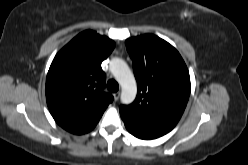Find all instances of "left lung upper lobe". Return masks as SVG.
<instances>
[{
    "mask_svg": "<svg viewBox=\"0 0 248 165\" xmlns=\"http://www.w3.org/2000/svg\"><path fill=\"white\" fill-rule=\"evenodd\" d=\"M138 92L120 112L140 123L171 131L180 120L190 95V76L179 52L152 34L126 40Z\"/></svg>",
    "mask_w": 248,
    "mask_h": 165,
    "instance_id": "1",
    "label": "left lung upper lobe"
}]
</instances>
